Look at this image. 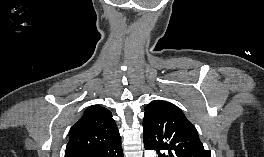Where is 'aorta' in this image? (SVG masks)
Wrapping results in <instances>:
<instances>
[{
	"instance_id": "aorta-1",
	"label": "aorta",
	"mask_w": 264,
	"mask_h": 157,
	"mask_svg": "<svg viewBox=\"0 0 264 157\" xmlns=\"http://www.w3.org/2000/svg\"><path fill=\"white\" fill-rule=\"evenodd\" d=\"M147 157H153V153L149 152Z\"/></svg>"
}]
</instances>
